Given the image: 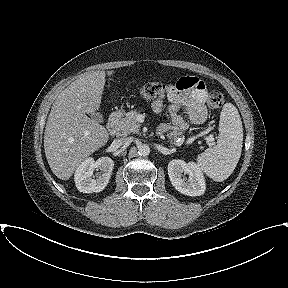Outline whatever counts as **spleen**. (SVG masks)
Returning a JSON list of instances; mask_svg holds the SVG:
<instances>
[{
	"label": "spleen",
	"mask_w": 288,
	"mask_h": 288,
	"mask_svg": "<svg viewBox=\"0 0 288 288\" xmlns=\"http://www.w3.org/2000/svg\"><path fill=\"white\" fill-rule=\"evenodd\" d=\"M243 128L237 108L226 103L219 121L217 145L197 157V164L214 181L226 180L234 171L242 152Z\"/></svg>",
	"instance_id": "3e777b00"
}]
</instances>
